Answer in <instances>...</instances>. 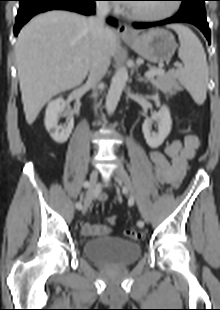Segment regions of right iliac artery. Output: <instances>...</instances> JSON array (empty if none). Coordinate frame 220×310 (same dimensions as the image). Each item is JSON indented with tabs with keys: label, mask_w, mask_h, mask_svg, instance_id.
Listing matches in <instances>:
<instances>
[{
	"label": "right iliac artery",
	"mask_w": 220,
	"mask_h": 310,
	"mask_svg": "<svg viewBox=\"0 0 220 310\" xmlns=\"http://www.w3.org/2000/svg\"><path fill=\"white\" fill-rule=\"evenodd\" d=\"M83 186L85 188H87L89 186V183L88 182H84ZM76 208L79 209V210L82 209V203L80 201L76 203Z\"/></svg>",
	"instance_id": "1"
}]
</instances>
